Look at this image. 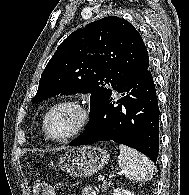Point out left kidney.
Returning <instances> with one entry per match:
<instances>
[{
    "instance_id": "obj_1",
    "label": "left kidney",
    "mask_w": 189,
    "mask_h": 195,
    "mask_svg": "<svg viewBox=\"0 0 189 195\" xmlns=\"http://www.w3.org/2000/svg\"><path fill=\"white\" fill-rule=\"evenodd\" d=\"M112 195H134V193L121 188V189H115Z\"/></svg>"
}]
</instances>
